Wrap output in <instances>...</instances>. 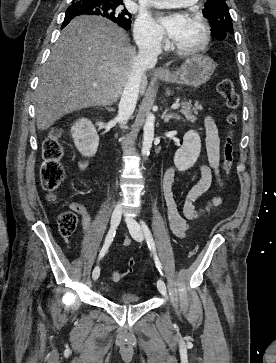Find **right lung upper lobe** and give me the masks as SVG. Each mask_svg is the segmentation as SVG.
Returning a JSON list of instances; mask_svg holds the SVG:
<instances>
[{
	"instance_id": "1",
	"label": "right lung upper lobe",
	"mask_w": 276,
	"mask_h": 363,
	"mask_svg": "<svg viewBox=\"0 0 276 363\" xmlns=\"http://www.w3.org/2000/svg\"><path fill=\"white\" fill-rule=\"evenodd\" d=\"M104 1H109V2H119V3H122V0H104Z\"/></svg>"
}]
</instances>
